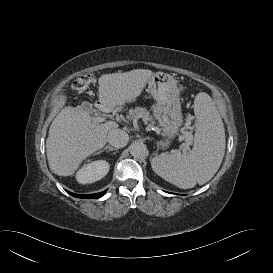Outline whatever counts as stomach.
Here are the masks:
<instances>
[{
    "label": "stomach",
    "instance_id": "1",
    "mask_svg": "<svg viewBox=\"0 0 273 273\" xmlns=\"http://www.w3.org/2000/svg\"><path fill=\"white\" fill-rule=\"evenodd\" d=\"M148 91L156 100L153 115L166 138L160 142L161 148L169 146L182 125L183 117L180 104V91L172 75L164 72L154 73L148 80Z\"/></svg>",
    "mask_w": 273,
    "mask_h": 273
}]
</instances>
